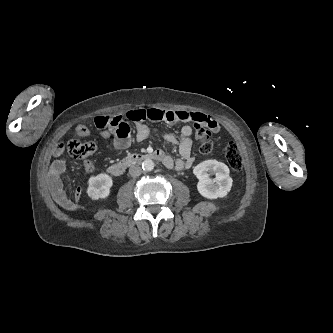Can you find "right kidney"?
<instances>
[{
    "label": "right kidney",
    "instance_id": "1",
    "mask_svg": "<svg viewBox=\"0 0 333 333\" xmlns=\"http://www.w3.org/2000/svg\"><path fill=\"white\" fill-rule=\"evenodd\" d=\"M113 181L108 174L101 173L88 180L87 194L93 200L104 199L109 196Z\"/></svg>",
    "mask_w": 333,
    "mask_h": 333
}]
</instances>
